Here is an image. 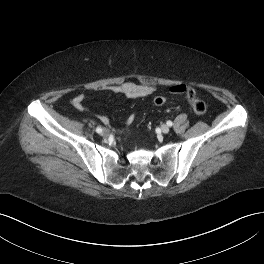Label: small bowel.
Here are the masks:
<instances>
[{
    "mask_svg": "<svg viewBox=\"0 0 264 264\" xmlns=\"http://www.w3.org/2000/svg\"><path fill=\"white\" fill-rule=\"evenodd\" d=\"M186 89L187 87L184 84H175L170 87V92L172 94H183L185 93ZM102 90L119 94L125 98L134 99L150 96L156 91V88L150 84H137L127 81L119 85L105 86L102 88ZM85 100L86 96L84 94H79L73 99L72 105L77 110H88L85 105ZM98 118L105 124L109 122V119L106 115L99 114ZM132 120L133 117H130L126 123L129 124Z\"/></svg>",
    "mask_w": 264,
    "mask_h": 264,
    "instance_id": "small-bowel-1",
    "label": "small bowel"
}]
</instances>
